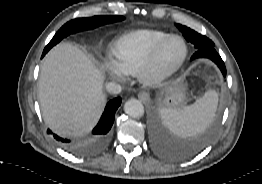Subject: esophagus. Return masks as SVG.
Segmentation results:
<instances>
[{
    "label": "esophagus",
    "instance_id": "34e87169",
    "mask_svg": "<svg viewBox=\"0 0 262 184\" xmlns=\"http://www.w3.org/2000/svg\"><path fill=\"white\" fill-rule=\"evenodd\" d=\"M138 97L144 104H148L151 101L150 94L148 92H145V91L140 92L138 94Z\"/></svg>",
    "mask_w": 262,
    "mask_h": 184
}]
</instances>
